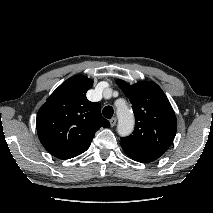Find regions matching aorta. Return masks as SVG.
<instances>
[{"label":"aorta","mask_w":213,"mask_h":213,"mask_svg":"<svg viewBox=\"0 0 213 213\" xmlns=\"http://www.w3.org/2000/svg\"><path fill=\"white\" fill-rule=\"evenodd\" d=\"M118 126L117 131L120 136H128L134 128V115L127 106L117 108Z\"/></svg>","instance_id":"obj_1"}]
</instances>
